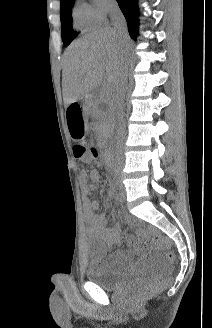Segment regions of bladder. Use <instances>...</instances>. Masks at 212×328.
Returning <instances> with one entry per match:
<instances>
[{
    "label": "bladder",
    "instance_id": "31cf9c89",
    "mask_svg": "<svg viewBox=\"0 0 212 328\" xmlns=\"http://www.w3.org/2000/svg\"><path fill=\"white\" fill-rule=\"evenodd\" d=\"M141 276L142 272L140 270L127 275H119L104 269L98 263H90L86 271V277L106 291H118L138 281Z\"/></svg>",
    "mask_w": 212,
    "mask_h": 328
}]
</instances>
